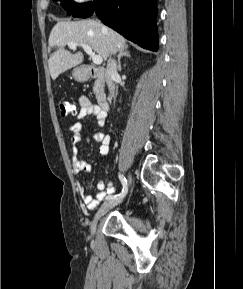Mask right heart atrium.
<instances>
[{"label": "right heart atrium", "mask_w": 243, "mask_h": 289, "mask_svg": "<svg viewBox=\"0 0 243 289\" xmlns=\"http://www.w3.org/2000/svg\"><path fill=\"white\" fill-rule=\"evenodd\" d=\"M73 1L76 2V3H79V4H83V3L90 2L92 0H73Z\"/></svg>", "instance_id": "right-heart-atrium-1"}]
</instances>
